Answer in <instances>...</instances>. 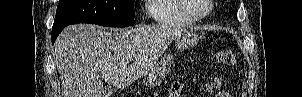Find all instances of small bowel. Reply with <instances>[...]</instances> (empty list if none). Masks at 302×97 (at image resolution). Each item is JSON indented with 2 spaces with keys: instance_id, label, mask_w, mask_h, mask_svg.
Masks as SVG:
<instances>
[{
  "instance_id": "1",
  "label": "small bowel",
  "mask_w": 302,
  "mask_h": 97,
  "mask_svg": "<svg viewBox=\"0 0 302 97\" xmlns=\"http://www.w3.org/2000/svg\"><path fill=\"white\" fill-rule=\"evenodd\" d=\"M182 90V83L177 81L173 84L170 92V97H180V93ZM217 97H228V95L224 92H220Z\"/></svg>"
}]
</instances>
